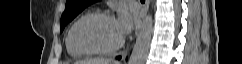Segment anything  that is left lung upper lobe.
I'll return each instance as SVG.
<instances>
[{"label":"left lung upper lobe","instance_id":"5c2ea615","mask_svg":"<svg viewBox=\"0 0 242 64\" xmlns=\"http://www.w3.org/2000/svg\"><path fill=\"white\" fill-rule=\"evenodd\" d=\"M98 0H67L65 11L60 21L61 31L71 22L82 10Z\"/></svg>","mask_w":242,"mask_h":64}]
</instances>
